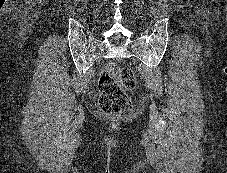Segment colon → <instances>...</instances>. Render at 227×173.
<instances>
[{
    "label": "colon",
    "mask_w": 227,
    "mask_h": 173,
    "mask_svg": "<svg viewBox=\"0 0 227 173\" xmlns=\"http://www.w3.org/2000/svg\"><path fill=\"white\" fill-rule=\"evenodd\" d=\"M136 83L133 70L108 64L98 81L101 109L110 114H128L132 109V103L127 91L134 89Z\"/></svg>",
    "instance_id": "5ec220e1"
}]
</instances>
